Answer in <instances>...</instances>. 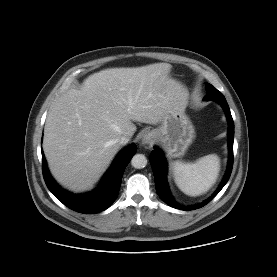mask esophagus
<instances>
[{"mask_svg": "<svg viewBox=\"0 0 277 277\" xmlns=\"http://www.w3.org/2000/svg\"><path fill=\"white\" fill-rule=\"evenodd\" d=\"M153 142H154V139H153V136L150 133H145V134L142 135L141 143L143 145H151V144H153Z\"/></svg>", "mask_w": 277, "mask_h": 277, "instance_id": "esophagus-1", "label": "esophagus"}]
</instances>
